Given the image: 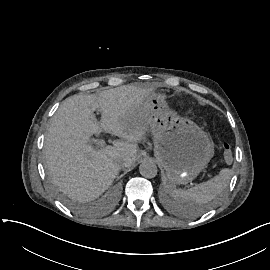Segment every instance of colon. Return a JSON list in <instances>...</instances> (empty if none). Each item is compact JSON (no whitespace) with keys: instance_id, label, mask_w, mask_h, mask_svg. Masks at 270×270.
<instances>
[{"instance_id":"colon-1","label":"colon","mask_w":270,"mask_h":270,"mask_svg":"<svg viewBox=\"0 0 270 270\" xmlns=\"http://www.w3.org/2000/svg\"><path fill=\"white\" fill-rule=\"evenodd\" d=\"M222 146L224 148V150L221 153V158L223 161L225 162H231L234 160L235 158V153L232 150L231 144L227 141H224L222 143Z\"/></svg>"}]
</instances>
